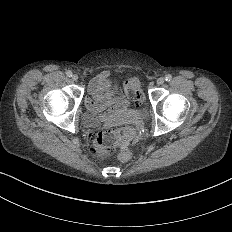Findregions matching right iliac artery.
<instances>
[{
	"label": "right iliac artery",
	"instance_id": "82829eb1",
	"mask_svg": "<svg viewBox=\"0 0 232 232\" xmlns=\"http://www.w3.org/2000/svg\"><path fill=\"white\" fill-rule=\"evenodd\" d=\"M66 75H67L68 77H71V76H72V72H71V71H67V72H66Z\"/></svg>",
	"mask_w": 232,
	"mask_h": 232
}]
</instances>
